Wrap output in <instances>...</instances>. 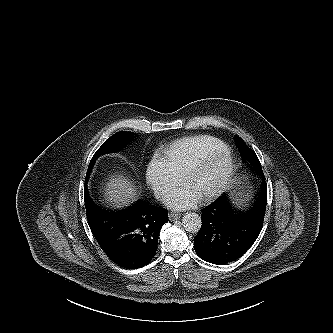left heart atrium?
Returning a JSON list of instances; mask_svg holds the SVG:
<instances>
[{"label":"left heart atrium","instance_id":"1","mask_svg":"<svg viewBox=\"0 0 333 333\" xmlns=\"http://www.w3.org/2000/svg\"><path fill=\"white\" fill-rule=\"evenodd\" d=\"M198 199L199 195L185 186L172 192L167 197L166 203L173 209H186L192 207Z\"/></svg>","mask_w":333,"mask_h":333}]
</instances>
